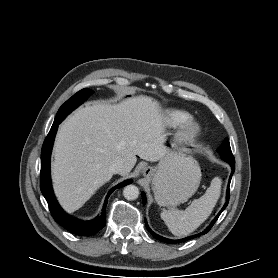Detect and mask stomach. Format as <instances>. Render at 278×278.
Here are the masks:
<instances>
[{
    "label": "stomach",
    "mask_w": 278,
    "mask_h": 278,
    "mask_svg": "<svg viewBox=\"0 0 278 278\" xmlns=\"http://www.w3.org/2000/svg\"><path fill=\"white\" fill-rule=\"evenodd\" d=\"M155 200L160 206H176L188 200L198 189L201 169L198 162L182 150L167 151L151 168Z\"/></svg>",
    "instance_id": "obj_1"
}]
</instances>
